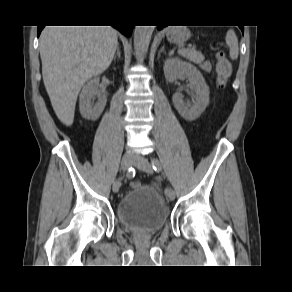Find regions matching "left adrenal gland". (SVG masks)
I'll list each match as a JSON object with an SVG mask.
<instances>
[{
  "instance_id": "left-adrenal-gland-1",
  "label": "left adrenal gland",
  "mask_w": 292,
  "mask_h": 292,
  "mask_svg": "<svg viewBox=\"0 0 292 292\" xmlns=\"http://www.w3.org/2000/svg\"><path fill=\"white\" fill-rule=\"evenodd\" d=\"M164 52L165 53V49H164V46L160 49L159 53H158V57L160 56V54Z\"/></svg>"
}]
</instances>
